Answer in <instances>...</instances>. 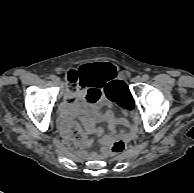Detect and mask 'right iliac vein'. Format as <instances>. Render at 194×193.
<instances>
[{
  "mask_svg": "<svg viewBox=\"0 0 194 193\" xmlns=\"http://www.w3.org/2000/svg\"><path fill=\"white\" fill-rule=\"evenodd\" d=\"M55 84L60 85V79L59 77H55V79L53 80Z\"/></svg>",
  "mask_w": 194,
  "mask_h": 193,
  "instance_id": "right-iliac-vein-1",
  "label": "right iliac vein"
}]
</instances>
